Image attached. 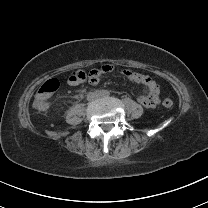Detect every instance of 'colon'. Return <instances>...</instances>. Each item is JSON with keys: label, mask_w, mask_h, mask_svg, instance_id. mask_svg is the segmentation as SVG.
<instances>
[{"label": "colon", "mask_w": 208, "mask_h": 208, "mask_svg": "<svg viewBox=\"0 0 208 208\" xmlns=\"http://www.w3.org/2000/svg\"><path fill=\"white\" fill-rule=\"evenodd\" d=\"M84 77L85 72L83 70H78L76 72L69 71L67 73L66 81L70 85L75 84L77 81L84 83ZM59 86L60 79L58 77H51L50 79H47L43 84H41L36 92V98L33 101L34 108L37 110L45 109L47 106V100L51 96L52 91ZM162 104L165 108H171L173 106V101L170 98H166Z\"/></svg>", "instance_id": "5ec220e1"}]
</instances>
